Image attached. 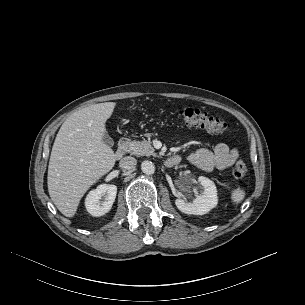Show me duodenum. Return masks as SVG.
Listing matches in <instances>:
<instances>
[{"label": "duodenum", "instance_id": "duodenum-1", "mask_svg": "<svg viewBox=\"0 0 305 305\" xmlns=\"http://www.w3.org/2000/svg\"><path fill=\"white\" fill-rule=\"evenodd\" d=\"M128 145H129V142H128L127 139H122L119 142V144H118V146L116 147V150H115V158L116 159H120L126 154L127 149H128ZM179 161H180L179 157L172 156V157H170L166 160V163L169 166H173V165L178 164Z\"/></svg>", "mask_w": 305, "mask_h": 305}]
</instances>
